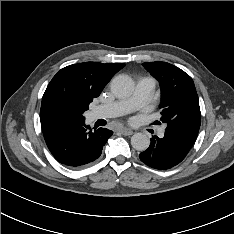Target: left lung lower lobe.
I'll list each match as a JSON object with an SVG mask.
<instances>
[{"instance_id": "0a47b994", "label": "left lung lower lobe", "mask_w": 234, "mask_h": 234, "mask_svg": "<svg viewBox=\"0 0 234 234\" xmlns=\"http://www.w3.org/2000/svg\"><path fill=\"white\" fill-rule=\"evenodd\" d=\"M190 149L175 137L165 133L163 138L152 137L149 148L140 153L139 157L146 165L165 170L179 164Z\"/></svg>"}]
</instances>
